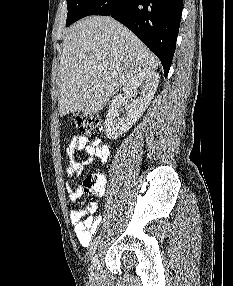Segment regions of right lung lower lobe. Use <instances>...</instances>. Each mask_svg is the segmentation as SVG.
<instances>
[{"label":"right lung lower lobe","mask_w":233,"mask_h":286,"mask_svg":"<svg viewBox=\"0 0 233 286\" xmlns=\"http://www.w3.org/2000/svg\"><path fill=\"white\" fill-rule=\"evenodd\" d=\"M182 7L183 0H94L79 19L105 15L124 24L158 56L166 77L175 52Z\"/></svg>","instance_id":"1"}]
</instances>
